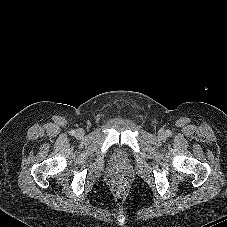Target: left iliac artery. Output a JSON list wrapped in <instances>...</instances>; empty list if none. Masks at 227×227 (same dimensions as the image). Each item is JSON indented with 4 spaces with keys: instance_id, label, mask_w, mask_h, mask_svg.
I'll return each instance as SVG.
<instances>
[{
    "instance_id": "1",
    "label": "left iliac artery",
    "mask_w": 227,
    "mask_h": 227,
    "mask_svg": "<svg viewBox=\"0 0 227 227\" xmlns=\"http://www.w3.org/2000/svg\"><path fill=\"white\" fill-rule=\"evenodd\" d=\"M167 134H168V135H171V132H170V131H167Z\"/></svg>"
}]
</instances>
